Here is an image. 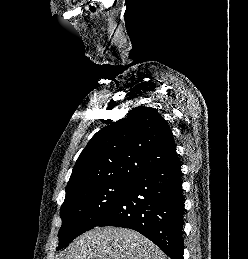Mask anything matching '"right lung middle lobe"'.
I'll list each match as a JSON object with an SVG mask.
<instances>
[{
	"label": "right lung middle lobe",
	"instance_id": "right-lung-middle-lobe-1",
	"mask_svg": "<svg viewBox=\"0 0 248 259\" xmlns=\"http://www.w3.org/2000/svg\"><path fill=\"white\" fill-rule=\"evenodd\" d=\"M131 181L112 180L74 188L66 192L60 209L62 226L57 251L82 233L96 227L121 200Z\"/></svg>",
	"mask_w": 248,
	"mask_h": 259
}]
</instances>
